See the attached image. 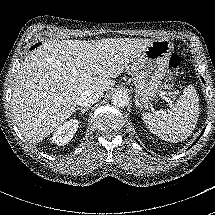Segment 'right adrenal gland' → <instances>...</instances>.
<instances>
[{"label": "right adrenal gland", "instance_id": "obj_1", "mask_svg": "<svg viewBox=\"0 0 215 215\" xmlns=\"http://www.w3.org/2000/svg\"><path fill=\"white\" fill-rule=\"evenodd\" d=\"M78 112V115L80 116V117H82L83 116V114L86 112V109H83V108H77L76 109V113Z\"/></svg>", "mask_w": 215, "mask_h": 215}]
</instances>
